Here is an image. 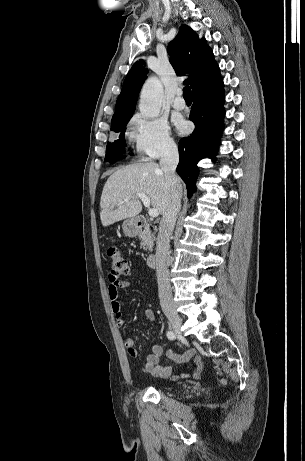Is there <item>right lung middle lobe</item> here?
<instances>
[{
	"label": "right lung middle lobe",
	"instance_id": "obj_1",
	"mask_svg": "<svg viewBox=\"0 0 305 461\" xmlns=\"http://www.w3.org/2000/svg\"><path fill=\"white\" fill-rule=\"evenodd\" d=\"M129 120L130 118L122 120L111 127L112 131L121 132V134L119 135V139L114 143L108 142L106 147L105 161L115 163L120 158H123V156L120 154H123L125 151L124 131Z\"/></svg>",
	"mask_w": 305,
	"mask_h": 461
}]
</instances>
